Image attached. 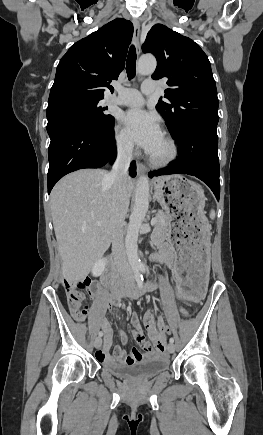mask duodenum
I'll return each instance as SVG.
<instances>
[{
  "mask_svg": "<svg viewBox=\"0 0 263 435\" xmlns=\"http://www.w3.org/2000/svg\"><path fill=\"white\" fill-rule=\"evenodd\" d=\"M110 274L112 275V271H110ZM143 290V285L141 287H138V284L124 282L120 288L114 293H118L120 295L124 296H134L135 293H140Z\"/></svg>",
  "mask_w": 263,
  "mask_h": 435,
  "instance_id": "duodenum-1",
  "label": "duodenum"
}]
</instances>
